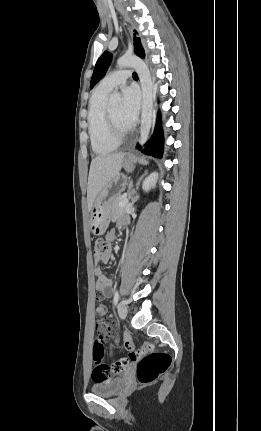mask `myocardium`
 Listing matches in <instances>:
<instances>
[{"instance_id":"f54148a6","label":"myocardium","mask_w":261,"mask_h":431,"mask_svg":"<svg viewBox=\"0 0 261 431\" xmlns=\"http://www.w3.org/2000/svg\"><path fill=\"white\" fill-rule=\"evenodd\" d=\"M105 121L111 138L121 143L129 135L130 129L121 130L113 121L108 109L105 110Z\"/></svg>"}]
</instances>
